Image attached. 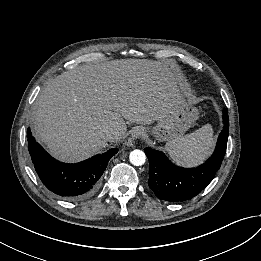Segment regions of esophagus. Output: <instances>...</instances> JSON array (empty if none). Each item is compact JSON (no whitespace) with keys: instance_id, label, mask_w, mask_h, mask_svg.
<instances>
[{"instance_id":"esophagus-1","label":"esophagus","mask_w":261,"mask_h":261,"mask_svg":"<svg viewBox=\"0 0 261 261\" xmlns=\"http://www.w3.org/2000/svg\"><path fill=\"white\" fill-rule=\"evenodd\" d=\"M144 135H145V129L143 127H135L131 133L133 139H139Z\"/></svg>"}]
</instances>
